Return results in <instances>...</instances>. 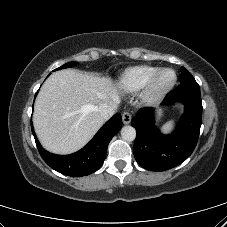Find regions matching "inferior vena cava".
Instances as JSON below:
<instances>
[{"mask_svg": "<svg viewBox=\"0 0 227 227\" xmlns=\"http://www.w3.org/2000/svg\"><path fill=\"white\" fill-rule=\"evenodd\" d=\"M98 112L100 113V115L104 118V119H109L111 116L114 115L115 113V109L111 106H109L108 104H100L98 107Z\"/></svg>", "mask_w": 227, "mask_h": 227, "instance_id": "1", "label": "inferior vena cava"}]
</instances>
